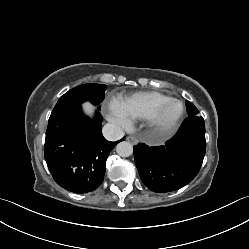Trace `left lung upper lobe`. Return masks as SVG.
I'll return each instance as SVG.
<instances>
[{
    "instance_id": "1",
    "label": "left lung upper lobe",
    "mask_w": 249,
    "mask_h": 249,
    "mask_svg": "<svg viewBox=\"0 0 249 249\" xmlns=\"http://www.w3.org/2000/svg\"><path fill=\"white\" fill-rule=\"evenodd\" d=\"M187 113L189 116L198 115V109L189 101H186Z\"/></svg>"
}]
</instances>
